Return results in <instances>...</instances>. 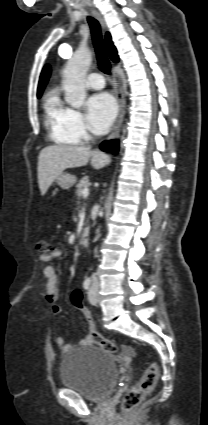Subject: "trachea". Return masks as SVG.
<instances>
[{
    "label": "trachea",
    "mask_w": 208,
    "mask_h": 425,
    "mask_svg": "<svg viewBox=\"0 0 208 425\" xmlns=\"http://www.w3.org/2000/svg\"><path fill=\"white\" fill-rule=\"evenodd\" d=\"M87 20L91 29V34H92V39H93V44H94V48L96 52V58L98 61L99 69L105 74H110L111 66H110L106 49L104 46V42L102 39L100 24L96 19L92 17H87Z\"/></svg>",
    "instance_id": "1"
}]
</instances>
